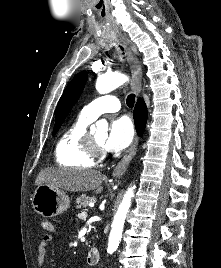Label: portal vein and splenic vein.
<instances>
[{"instance_id":"18ae733b","label":"portal vein and splenic vein","mask_w":221,"mask_h":268,"mask_svg":"<svg viewBox=\"0 0 221 268\" xmlns=\"http://www.w3.org/2000/svg\"><path fill=\"white\" fill-rule=\"evenodd\" d=\"M87 215H88L87 212L83 211V212L80 213L79 216H80V218H82V219H86V218H87Z\"/></svg>"}]
</instances>
